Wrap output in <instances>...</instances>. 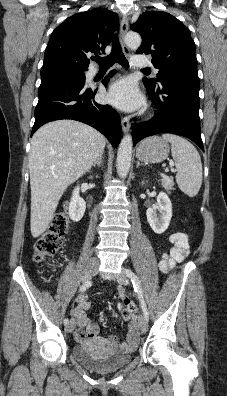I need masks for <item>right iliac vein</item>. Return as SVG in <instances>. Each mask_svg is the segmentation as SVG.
<instances>
[{"instance_id":"obj_1","label":"right iliac vein","mask_w":227,"mask_h":396,"mask_svg":"<svg viewBox=\"0 0 227 396\" xmlns=\"http://www.w3.org/2000/svg\"><path fill=\"white\" fill-rule=\"evenodd\" d=\"M97 266H98V264L95 260L90 261L88 267L86 268V270L82 276V281L84 283L87 281H90L91 278L96 275ZM73 329H74V321H70V323H68V325L65 327V331L67 333H71Z\"/></svg>"}]
</instances>
